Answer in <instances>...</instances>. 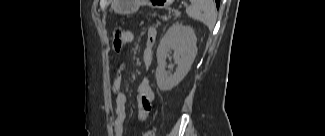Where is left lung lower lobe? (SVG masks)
Segmentation results:
<instances>
[{"label": "left lung lower lobe", "instance_id": "1", "mask_svg": "<svg viewBox=\"0 0 325 136\" xmlns=\"http://www.w3.org/2000/svg\"><path fill=\"white\" fill-rule=\"evenodd\" d=\"M217 7H219L220 0H215Z\"/></svg>", "mask_w": 325, "mask_h": 136}]
</instances>
